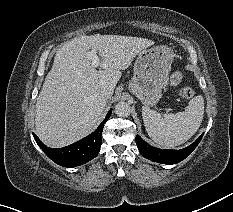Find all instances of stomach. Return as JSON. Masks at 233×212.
<instances>
[{"instance_id": "stomach-1", "label": "stomach", "mask_w": 233, "mask_h": 212, "mask_svg": "<svg viewBox=\"0 0 233 212\" xmlns=\"http://www.w3.org/2000/svg\"><path fill=\"white\" fill-rule=\"evenodd\" d=\"M173 57V50L165 45L144 48L138 54L129 89L142 104L153 106L158 103L168 83Z\"/></svg>"}]
</instances>
